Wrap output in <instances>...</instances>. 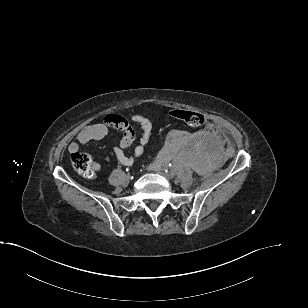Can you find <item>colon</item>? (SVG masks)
<instances>
[{"mask_svg":"<svg viewBox=\"0 0 308 308\" xmlns=\"http://www.w3.org/2000/svg\"><path fill=\"white\" fill-rule=\"evenodd\" d=\"M170 115L191 127H199L203 125L205 121L202 114L188 110L173 109L170 112ZM71 162L74 169L81 175L85 177H91L94 175L95 171L92 165V159L88 153L78 151L73 152L71 154Z\"/></svg>","mask_w":308,"mask_h":308,"instance_id":"1","label":"colon"}]
</instances>
